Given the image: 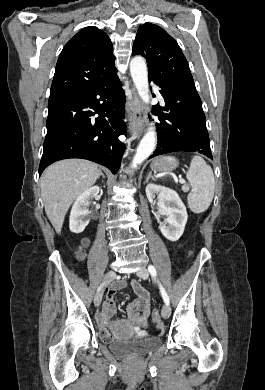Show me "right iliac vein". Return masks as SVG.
<instances>
[{
	"instance_id": "63e3f726",
	"label": "right iliac vein",
	"mask_w": 265,
	"mask_h": 390,
	"mask_svg": "<svg viewBox=\"0 0 265 390\" xmlns=\"http://www.w3.org/2000/svg\"><path fill=\"white\" fill-rule=\"evenodd\" d=\"M116 276V272L114 270H111L106 273L104 279H103V285L107 284L109 281L114 279ZM102 296H103V288L96 293L95 298H94V304L96 307H98L102 301Z\"/></svg>"
}]
</instances>
